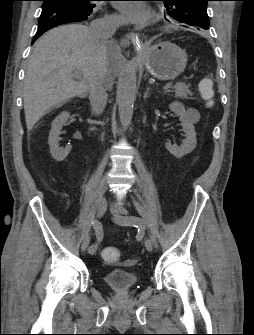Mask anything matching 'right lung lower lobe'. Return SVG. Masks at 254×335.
I'll return each instance as SVG.
<instances>
[{
    "instance_id": "right-lung-lower-lobe-1",
    "label": "right lung lower lobe",
    "mask_w": 254,
    "mask_h": 335,
    "mask_svg": "<svg viewBox=\"0 0 254 335\" xmlns=\"http://www.w3.org/2000/svg\"><path fill=\"white\" fill-rule=\"evenodd\" d=\"M94 7L78 0H45L33 42L53 27L87 20Z\"/></svg>"
}]
</instances>
